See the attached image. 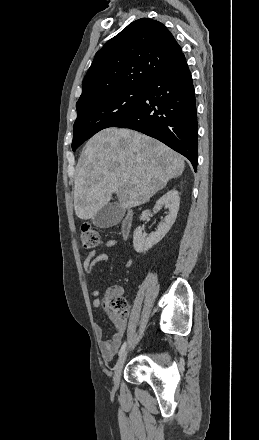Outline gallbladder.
<instances>
[{
	"mask_svg": "<svg viewBox=\"0 0 259 440\" xmlns=\"http://www.w3.org/2000/svg\"><path fill=\"white\" fill-rule=\"evenodd\" d=\"M123 216L124 209L118 203H108L91 218V222L99 228H110L117 225Z\"/></svg>",
	"mask_w": 259,
	"mask_h": 440,
	"instance_id": "1",
	"label": "gallbladder"
}]
</instances>
